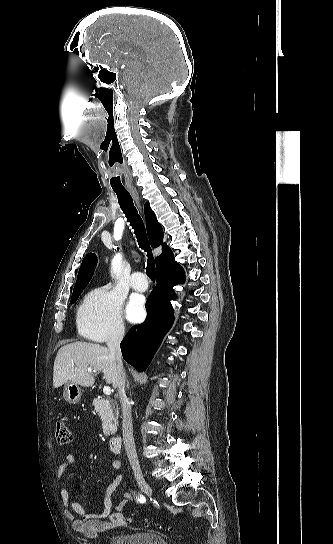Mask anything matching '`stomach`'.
Instances as JSON below:
<instances>
[{
	"label": "stomach",
	"mask_w": 333,
	"mask_h": 544,
	"mask_svg": "<svg viewBox=\"0 0 333 544\" xmlns=\"http://www.w3.org/2000/svg\"><path fill=\"white\" fill-rule=\"evenodd\" d=\"M82 392L80 387L72 382H67L63 388V398L70 404H76L80 401Z\"/></svg>",
	"instance_id": "obj_1"
}]
</instances>
